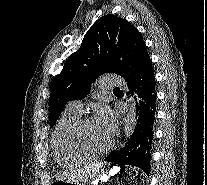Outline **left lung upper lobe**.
Segmentation results:
<instances>
[{"label": "left lung upper lobe", "mask_w": 207, "mask_h": 185, "mask_svg": "<svg viewBox=\"0 0 207 185\" xmlns=\"http://www.w3.org/2000/svg\"><path fill=\"white\" fill-rule=\"evenodd\" d=\"M152 61L143 37L127 20L107 14L87 31L80 48L72 53L51 83L50 128L68 101L82 99L104 73L126 80L147 69Z\"/></svg>", "instance_id": "obj_1"}]
</instances>
